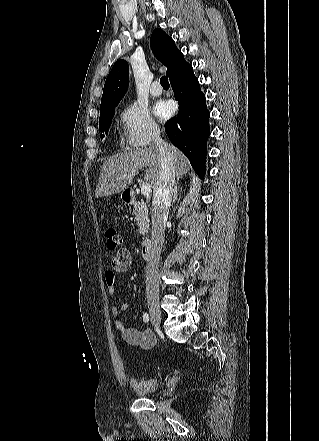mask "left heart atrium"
Masks as SVG:
<instances>
[{
	"label": "left heart atrium",
	"mask_w": 319,
	"mask_h": 441,
	"mask_svg": "<svg viewBox=\"0 0 319 441\" xmlns=\"http://www.w3.org/2000/svg\"><path fill=\"white\" fill-rule=\"evenodd\" d=\"M173 112V106L171 103L166 101H159L155 106V114L161 118H168Z\"/></svg>",
	"instance_id": "obj_1"
}]
</instances>
